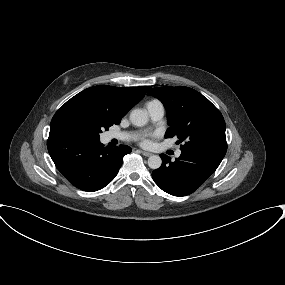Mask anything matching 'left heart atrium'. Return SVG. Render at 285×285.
Returning a JSON list of instances; mask_svg holds the SVG:
<instances>
[{"label":"left heart atrium","instance_id":"left-heart-atrium-1","mask_svg":"<svg viewBox=\"0 0 285 285\" xmlns=\"http://www.w3.org/2000/svg\"><path fill=\"white\" fill-rule=\"evenodd\" d=\"M142 144L147 145V144H148V141H147V140H143V141H142Z\"/></svg>","mask_w":285,"mask_h":285}]
</instances>
